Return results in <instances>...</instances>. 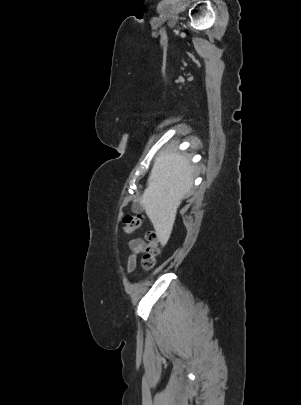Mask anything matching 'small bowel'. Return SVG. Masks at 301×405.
<instances>
[{
	"instance_id": "1",
	"label": "small bowel",
	"mask_w": 301,
	"mask_h": 405,
	"mask_svg": "<svg viewBox=\"0 0 301 405\" xmlns=\"http://www.w3.org/2000/svg\"><path fill=\"white\" fill-rule=\"evenodd\" d=\"M128 245H129V248L131 249L132 253L128 257L126 268H127L128 272H131L135 269L136 264H137V258L139 256V254L144 252L146 244L142 239L135 238V239L130 240Z\"/></svg>"
}]
</instances>
